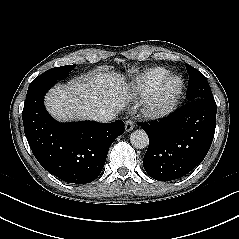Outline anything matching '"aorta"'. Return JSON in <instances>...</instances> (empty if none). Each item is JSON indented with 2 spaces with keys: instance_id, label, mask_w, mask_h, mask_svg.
Returning <instances> with one entry per match:
<instances>
[{
  "instance_id": "obj_1",
  "label": "aorta",
  "mask_w": 239,
  "mask_h": 239,
  "mask_svg": "<svg viewBox=\"0 0 239 239\" xmlns=\"http://www.w3.org/2000/svg\"><path fill=\"white\" fill-rule=\"evenodd\" d=\"M130 142L137 149H144L149 144V138L145 131L135 130L130 136Z\"/></svg>"
}]
</instances>
